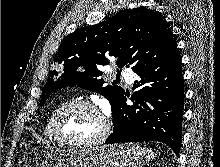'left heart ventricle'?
Listing matches in <instances>:
<instances>
[{"mask_svg": "<svg viewBox=\"0 0 220 167\" xmlns=\"http://www.w3.org/2000/svg\"><path fill=\"white\" fill-rule=\"evenodd\" d=\"M100 116L93 110L77 106L72 108L61 120V131L69 139L89 140L101 130Z\"/></svg>", "mask_w": 220, "mask_h": 167, "instance_id": "left-heart-ventricle-1", "label": "left heart ventricle"}]
</instances>
